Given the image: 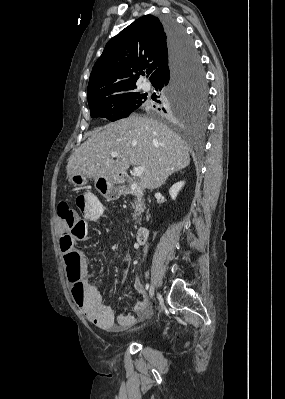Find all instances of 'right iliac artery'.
<instances>
[{
	"label": "right iliac artery",
	"instance_id": "82829eb1",
	"mask_svg": "<svg viewBox=\"0 0 285 399\" xmlns=\"http://www.w3.org/2000/svg\"><path fill=\"white\" fill-rule=\"evenodd\" d=\"M149 287H150L149 283H146V285H145V289H146V290H148V289H149Z\"/></svg>",
	"mask_w": 285,
	"mask_h": 399
}]
</instances>
